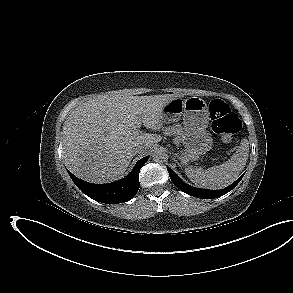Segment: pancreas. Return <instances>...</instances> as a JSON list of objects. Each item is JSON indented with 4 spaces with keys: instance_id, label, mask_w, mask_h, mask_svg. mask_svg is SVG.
I'll list each match as a JSON object with an SVG mask.
<instances>
[{
    "instance_id": "obj_1",
    "label": "pancreas",
    "mask_w": 293,
    "mask_h": 293,
    "mask_svg": "<svg viewBox=\"0 0 293 293\" xmlns=\"http://www.w3.org/2000/svg\"><path fill=\"white\" fill-rule=\"evenodd\" d=\"M165 133L169 136H175V142L179 143L182 140L183 128L181 127V125L177 124L166 128Z\"/></svg>"
}]
</instances>
